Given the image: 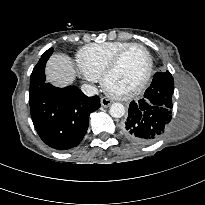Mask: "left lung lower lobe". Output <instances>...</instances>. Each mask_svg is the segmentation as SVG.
<instances>
[{"label": "left lung lower lobe", "instance_id": "0a47b994", "mask_svg": "<svg viewBox=\"0 0 205 205\" xmlns=\"http://www.w3.org/2000/svg\"><path fill=\"white\" fill-rule=\"evenodd\" d=\"M151 92L152 95L130 103L128 117L121 128L126 138L138 144L159 139L172 118V102L165 91L158 86Z\"/></svg>", "mask_w": 205, "mask_h": 205}]
</instances>
